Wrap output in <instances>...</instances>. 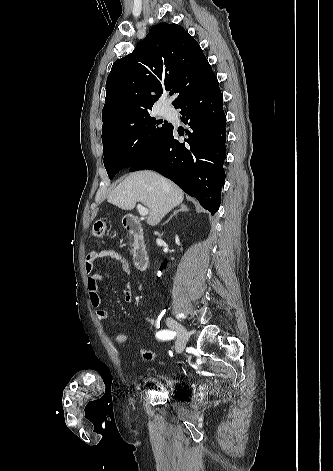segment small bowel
Listing matches in <instances>:
<instances>
[{"label": "small bowel", "instance_id": "small-bowel-1", "mask_svg": "<svg viewBox=\"0 0 333 471\" xmlns=\"http://www.w3.org/2000/svg\"><path fill=\"white\" fill-rule=\"evenodd\" d=\"M107 258L114 261L119 268L126 274L130 275V266L127 260L117 251L113 249H103L99 251H91L87 254L85 258V272L87 276V288L89 293V299L92 307L96 309V317L98 321L102 324L107 323L108 313L106 310L102 309L101 306V296L99 293V282L102 279V276L99 272L95 270V263L99 259ZM124 302L130 304L133 300V291L130 282L128 281L124 290ZM145 321L147 323L152 322L151 317H146Z\"/></svg>", "mask_w": 333, "mask_h": 471}]
</instances>
